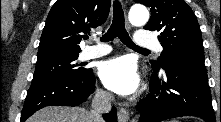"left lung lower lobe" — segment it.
<instances>
[{
	"mask_svg": "<svg viewBox=\"0 0 221 122\" xmlns=\"http://www.w3.org/2000/svg\"><path fill=\"white\" fill-rule=\"evenodd\" d=\"M167 81L154 71L150 93L137 105L140 122H160L181 116H197L216 122L204 64L175 61L164 68Z\"/></svg>",
	"mask_w": 221,
	"mask_h": 122,
	"instance_id": "obj_1",
	"label": "left lung lower lobe"
}]
</instances>
